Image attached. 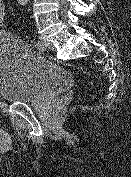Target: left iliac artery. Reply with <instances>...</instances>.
Returning <instances> with one entry per match:
<instances>
[{
    "instance_id": "1",
    "label": "left iliac artery",
    "mask_w": 131,
    "mask_h": 177,
    "mask_svg": "<svg viewBox=\"0 0 131 177\" xmlns=\"http://www.w3.org/2000/svg\"><path fill=\"white\" fill-rule=\"evenodd\" d=\"M35 46L40 49L42 47V44L39 41H36Z\"/></svg>"
}]
</instances>
